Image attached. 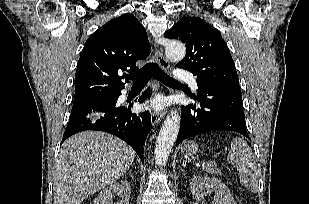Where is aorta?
I'll return each mask as SVG.
<instances>
[{"instance_id":"aorta-1","label":"aorta","mask_w":309,"mask_h":204,"mask_svg":"<svg viewBox=\"0 0 309 204\" xmlns=\"http://www.w3.org/2000/svg\"><path fill=\"white\" fill-rule=\"evenodd\" d=\"M186 54V48L179 41H170L165 48L166 57L173 62L181 61ZM180 127V116L173 110L166 118L155 145V162L158 166L165 165L171 149L176 141Z\"/></svg>"}]
</instances>
